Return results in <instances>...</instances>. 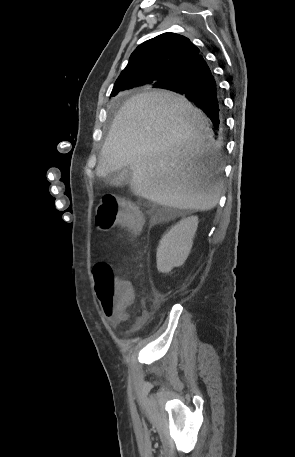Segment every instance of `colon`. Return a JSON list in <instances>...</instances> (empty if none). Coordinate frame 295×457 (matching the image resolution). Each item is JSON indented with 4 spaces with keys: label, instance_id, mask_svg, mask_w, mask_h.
<instances>
[{
    "label": "colon",
    "instance_id": "5ec220e1",
    "mask_svg": "<svg viewBox=\"0 0 295 457\" xmlns=\"http://www.w3.org/2000/svg\"><path fill=\"white\" fill-rule=\"evenodd\" d=\"M143 222L139 210L132 204L119 201L114 195L101 199L95 216V225L109 231L117 224L138 230ZM93 277L98 299L106 316L123 318L125 310L135 298V288L127 280L118 279L111 267L104 262L93 266Z\"/></svg>",
    "mask_w": 295,
    "mask_h": 457
}]
</instances>
